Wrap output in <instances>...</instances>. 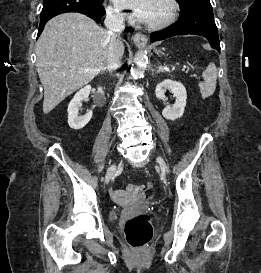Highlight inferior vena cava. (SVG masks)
<instances>
[{"label": "inferior vena cava", "mask_w": 261, "mask_h": 273, "mask_svg": "<svg viewBox=\"0 0 261 273\" xmlns=\"http://www.w3.org/2000/svg\"><path fill=\"white\" fill-rule=\"evenodd\" d=\"M104 23L110 36L106 67L113 71L121 65L122 53L119 34L125 29L124 17L112 9H107Z\"/></svg>", "instance_id": "obj_1"}]
</instances>
